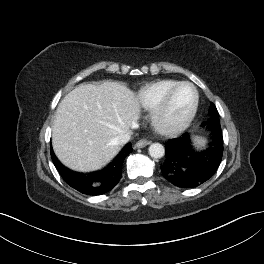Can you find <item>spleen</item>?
<instances>
[{
    "instance_id": "obj_1",
    "label": "spleen",
    "mask_w": 264,
    "mask_h": 264,
    "mask_svg": "<svg viewBox=\"0 0 264 264\" xmlns=\"http://www.w3.org/2000/svg\"><path fill=\"white\" fill-rule=\"evenodd\" d=\"M195 142L199 145V146H203L205 143V139L200 138V137H196L195 138Z\"/></svg>"
}]
</instances>
